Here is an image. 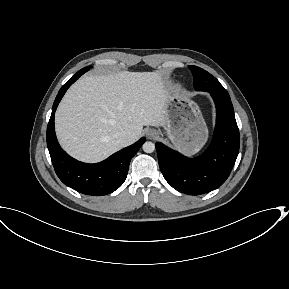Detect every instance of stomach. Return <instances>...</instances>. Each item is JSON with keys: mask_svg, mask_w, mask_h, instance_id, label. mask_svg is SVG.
Masks as SVG:
<instances>
[{"mask_svg": "<svg viewBox=\"0 0 289 289\" xmlns=\"http://www.w3.org/2000/svg\"><path fill=\"white\" fill-rule=\"evenodd\" d=\"M166 134L174 148L191 156L200 151L208 129L197 104L171 89L166 101Z\"/></svg>", "mask_w": 289, "mask_h": 289, "instance_id": "0dacf381", "label": "stomach"}]
</instances>
